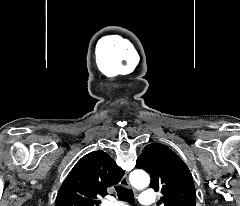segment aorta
Masks as SVG:
<instances>
[{
  "mask_svg": "<svg viewBox=\"0 0 240 206\" xmlns=\"http://www.w3.org/2000/svg\"><path fill=\"white\" fill-rule=\"evenodd\" d=\"M130 183L135 188L146 187L149 185L150 177L142 170H134L130 174Z\"/></svg>",
  "mask_w": 240,
  "mask_h": 206,
  "instance_id": "obj_1",
  "label": "aorta"
}]
</instances>
